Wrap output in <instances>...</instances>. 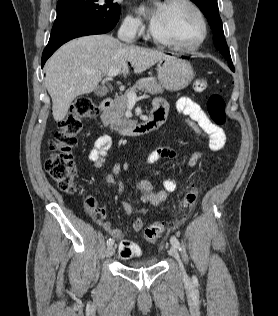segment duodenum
I'll list each match as a JSON object with an SVG mask.
<instances>
[{"label":"duodenum","instance_id":"410a0bca","mask_svg":"<svg viewBox=\"0 0 278 316\" xmlns=\"http://www.w3.org/2000/svg\"><path fill=\"white\" fill-rule=\"evenodd\" d=\"M114 100L105 98L99 104V112L102 124L108 127L107 115L113 107ZM164 121V114L159 110H153L148 119L142 123L132 124L124 128L115 130L121 135H141L155 131Z\"/></svg>","mask_w":278,"mask_h":316}]
</instances>
